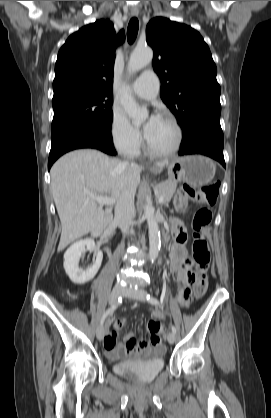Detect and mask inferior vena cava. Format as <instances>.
I'll use <instances>...</instances> for the list:
<instances>
[{
  "label": "inferior vena cava",
  "instance_id": "inferior-vena-cava-1",
  "mask_svg": "<svg viewBox=\"0 0 271 418\" xmlns=\"http://www.w3.org/2000/svg\"><path fill=\"white\" fill-rule=\"evenodd\" d=\"M134 216V194L131 192H123L116 203L114 221L124 234L133 233L130 230V226L133 224Z\"/></svg>",
  "mask_w": 271,
  "mask_h": 418
}]
</instances>
